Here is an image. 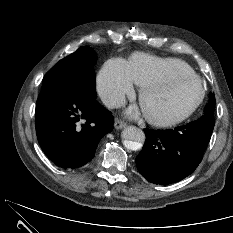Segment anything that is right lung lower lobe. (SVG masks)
<instances>
[{
	"label": "right lung lower lobe",
	"instance_id": "obj_1",
	"mask_svg": "<svg viewBox=\"0 0 233 233\" xmlns=\"http://www.w3.org/2000/svg\"><path fill=\"white\" fill-rule=\"evenodd\" d=\"M96 90L64 83H44L36 104L38 142L56 165L78 168L95 155L114 118L96 100Z\"/></svg>",
	"mask_w": 233,
	"mask_h": 233
}]
</instances>
